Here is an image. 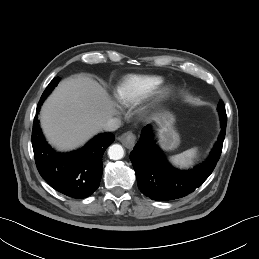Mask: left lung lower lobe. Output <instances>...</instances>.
Instances as JSON below:
<instances>
[{
  "mask_svg": "<svg viewBox=\"0 0 259 259\" xmlns=\"http://www.w3.org/2000/svg\"><path fill=\"white\" fill-rule=\"evenodd\" d=\"M221 132L209 158L188 171L173 168L153 140L150 126L142 129L139 142L130 153L140 191L152 200L168 201L182 198L200 187L214 170L222 151L227 115L218 109Z\"/></svg>",
  "mask_w": 259,
  "mask_h": 259,
  "instance_id": "1",
  "label": "left lung lower lobe"
}]
</instances>
